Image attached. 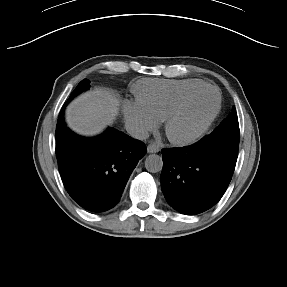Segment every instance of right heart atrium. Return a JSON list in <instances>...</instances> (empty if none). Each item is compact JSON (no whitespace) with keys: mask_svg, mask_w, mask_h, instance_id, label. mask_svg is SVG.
I'll return each mask as SVG.
<instances>
[{"mask_svg":"<svg viewBox=\"0 0 287 287\" xmlns=\"http://www.w3.org/2000/svg\"><path fill=\"white\" fill-rule=\"evenodd\" d=\"M123 114L129 128L138 136H145L159 126V121L138 101L126 102Z\"/></svg>","mask_w":287,"mask_h":287,"instance_id":"obj_1","label":"right heart atrium"}]
</instances>
